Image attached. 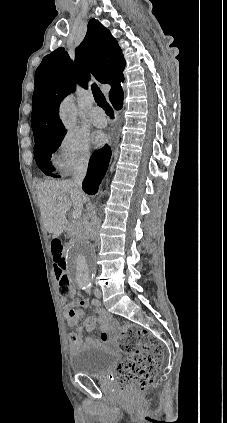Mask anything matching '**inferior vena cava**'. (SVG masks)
<instances>
[{"label": "inferior vena cava", "instance_id": "602c4592", "mask_svg": "<svg viewBox=\"0 0 227 423\" xmlns=\"http://www.w3.org/2000/svg\"><path fill=\"white\" fill-rule=\"evenodd\" d=\"M87 168L88 158L87 160H83V162H80V164H77V166H75L74 168L72 176V186L73 188H75V190H78V192H82V182L86 176ZM96 223H99V219H95V217H92V221L88 225V235L90 239H96Z\"/></svg>", "mask_w": 227, "mask_h": 423}]
</instances>
